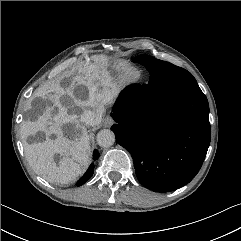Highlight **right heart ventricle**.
I'll use <instances>...</instances> for the list:
<instances>
[{"instance_id":"obj_1","label":"right heart ventricle","mask_w":241,"mask_h":241,"mask_svg":"<svg viewBox=\"0 0 241 241\" xmlns=\"http://www.w3.org/2000/svg\"><path fill=\"white\" fill-rule=\"evenodd\" d=\"M129 67H130L129 65L121 64V65L118 67V70H119V71H126Z\"/></svg>"}]
</instances>
